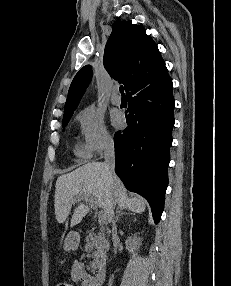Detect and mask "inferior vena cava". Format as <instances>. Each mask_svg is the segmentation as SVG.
<instances>
[{
	"mask_svg": "<svg viewBox=\"0 0 231 286\" xmlns=\"http://www.w3.org/2000/svg\"><path fill=\"white\" fill-rule=\"evenodd\" d=\"M104 151V165L106 168V173L110 178H114L115 176V151H114V142L113 140H107L104 143L103 146ZM116 203L114 200H112L111 206L109 208V217L112 222V239L113 241L117 239V229L116 224L114 220V209H115Z\"/></svg>",
	"mask_w": 231,
	"mask_h": 286,
	"instance_id": "inferior-vena-cava-1",
	"label": "inferior vena cava"
}]
</instances>
